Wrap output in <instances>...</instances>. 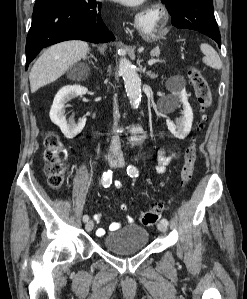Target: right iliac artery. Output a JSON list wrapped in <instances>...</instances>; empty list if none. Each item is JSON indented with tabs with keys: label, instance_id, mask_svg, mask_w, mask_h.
I'll return each mask as SVG.
<instances>
[{
	"label": "right iliac artery",
	"instance_id": "right-iliac-artery-1",
	"mask_svg": "<svg viewBox=\"0 0 247 299\" xmlns=\"http://www.w3.org/2000/svg\"><path fill=\"white\" fill-rule=\"evenodd\" d=\"M112 183V171L111 170H108L107 172H105L103 174V177H102V184H103V187L107 188L110 186V184ZM89 219L88 215H84L83 216V221L84 222H87Z\"/></svg>",
	"mask_w": 247,
	"mask_h": 299
}]
</instances>
